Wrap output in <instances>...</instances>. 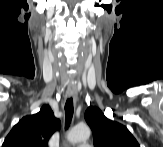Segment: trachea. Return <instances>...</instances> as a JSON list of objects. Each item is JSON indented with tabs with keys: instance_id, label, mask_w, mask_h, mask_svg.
Segmentation results:
<instances>
[{
	"instance_id": "obj_1",
	"label": "trachea",
	"mask_w": 163,
	"mask_h": 147,
	"mask_svg": "<svg viewBox=\"0 0 163 147\" xmlns=\"http://www.w3.org/2000/svg\"><path fill=\"white\" fill-rule=\"evenodd\" d=\"M73 117V99H67L65 103V129L70 125L71 119Z\"/></svg>"
}]
</instances>
